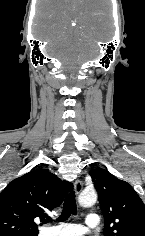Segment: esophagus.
<instances>
[{"label": "esophagus", "mask_w": 145, "mask_h": 236, "mask_svg": "<svg viewBox=\"0 0 145 236\" xmlns=\"http://www.w3.org/2000/svg\"><path fill=\"white\" fill-rule=\"evenodd\" d=\"M83 184L80 180H76L74 183V190L77 194H79L82 190Z\"/></svg>", "instance_id": "esophagus-1"}]
</instances>
